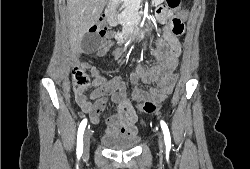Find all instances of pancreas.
Returning <instances> with one entry per match:
<instances>
[{"label":"pancreas","instance_id":"obj_1","mask_svg":"<svg viewBox=\"0 0 250 169\" xmlns=\"http://www.w3.org/2000/svg\"><path fill=\"white\" fill-rule=\"evenodd\" d=\"M124 4H126L127 10H131V8H135V0H125Z\"/></svg>","mask_w":250,"mask_h":169}]
</instances>
